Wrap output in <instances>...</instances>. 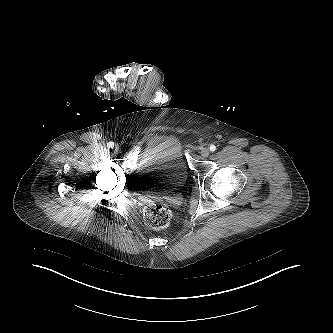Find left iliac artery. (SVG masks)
I'll use <instances>...</instances> for the list:
<instances>
[{
  "label": "left iliac artery",
  "mask_w": 333,
  "mask_h": 333,
  "mask_svg": "<svg viewBox=\"0 0 333 333\" xmlns=\"http://www.w3.org/2000/svg\"><path fill=\"white\" fill-rule=\"evenodd\" d=\"M216 150V146L215 145H211L210 146V151L214 152Z\"/></svg>",
  "instance_id": "obj_1"
}]
</instances>
